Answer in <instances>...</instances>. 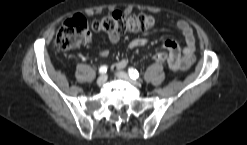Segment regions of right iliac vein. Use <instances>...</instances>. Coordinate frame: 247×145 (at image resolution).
I'll list each match as a JSON object with an SVG mask.
<instances>
[{"label":"right iliac vein","mask_w":247,"mask_h":145,"mask_svg":"<svg viewBox=\"0 0 247 145\" xmlns=\"http://www.w3.org/2000/svg\"><path fill=\"white\" fill-rule=\"evenodd\" d=\"M107 81V75L103 74L97 79V85L101 86Z\"/></svg>","instance_id":"63e3f726"}]
</instances>
